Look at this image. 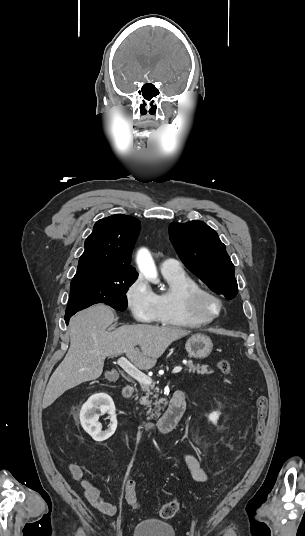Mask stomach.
I'll list each match as a JSON object with an SVG mask.
<instances>
[{"label": "stomach", "instance_id": "stomach-1", "mask_svg": "<svg viewBox=\"0 0 305 536\" xmlns=\"http://www.w3.org/2000/svg\"><path fill=\"white\" fill-rule=\"evenodd\" d=\"M212 348L213 344L205 334H195L185 344V350L190 358H207Z\"/></svg>", "mask_w": 305, "mask_h": 536}]
</instances>
